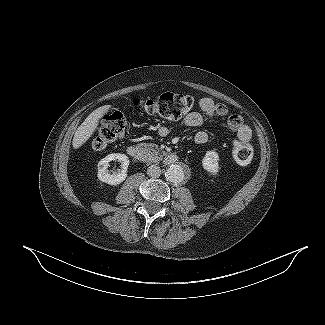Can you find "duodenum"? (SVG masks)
Wrapping results in <instances>:
<instances>
[{"label":"duodenum","instance_id":"1","mask_svg":"<svg viewBox=\"0 0 325 325\" xmlns=\"http://www.w3.org/2000/svg\"><path fill=\"white\" fill-rule=\"evenodd\" d=\"M127 152L129 154V156H131L135 160H138L140 162L148 161L147 153L142 149V147H140L137 144H132V145L128 146ZM177 161H178V156L174 153H168L164 157V163L166 165L174 164Z\"/></svg>","mask_w":325,"mask_h":325}]
</instances>
